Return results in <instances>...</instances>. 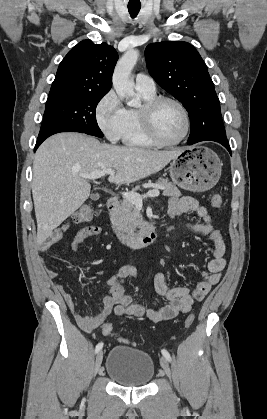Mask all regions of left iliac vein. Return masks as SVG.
Masks as SVG:
<instances>
[{"instance_id": "obj_1", "label": "left iliac vein", "mask_w": 267, "mask_h": 419, "mask_svg": "<svg viewBox=\"0 0 267 419\" xmlns=\"http://www.w3.org/2000/svg\"><path fill=\"white\" fill-rule=\"evenodd\" d=\"M160 364H161L165 374L170 379L171 378V369H170V365H169L167 359L165 357H161L160 358Z\"/></svg>"}]
</instances>
